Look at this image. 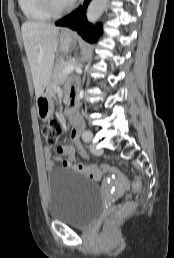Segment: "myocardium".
<instances>
[{"label":"myocardium","instance_id":"1","mask_svg":"<svg viewBox=\"0 0 174 258\" xmlns=\"http://www.w3.org/2000/svg\"><path fill=\"white\" fill-rule=\"evenodd\" d=\"M42 6L51 16H60L65 14L73 7V2L65 5H59L56 0H41Z\"/></svg>","mask_w":174,"mask_h":258}]
</instances>
